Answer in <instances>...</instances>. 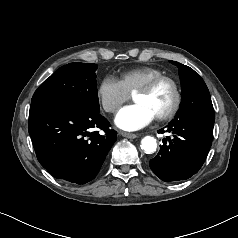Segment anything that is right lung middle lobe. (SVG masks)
<instances>
[{"label": "right lung middle lobe", "instance_id": "obj_1", "mask_svg": "<svg viewBox=\"0 0 238 238\" xmlns=\"http://www.w3.org/2000/svg\"><path fill=\"white\" fill-rule=\"evenodd\" d=\"M96 64L62 66L35 91L32 103H68L99 111Z\"/></svg>", "mask_w": 238, "mask_h": 238}]
</instances>
